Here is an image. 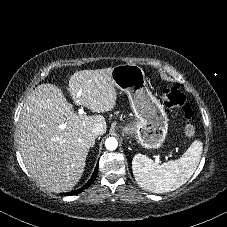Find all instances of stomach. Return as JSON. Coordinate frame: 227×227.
Segmentation results:
<instances>
[{"label":"stomach","mask_w":227,"mask_h":227,"mask_svg":"<svg viewBox=\"0 0 227 227\" xmlns=\"http://www.w3.org/2000/svg\"><path fill=\"white\" fill-rule=\"evenodd\" d=\"M115 87L127 93L136 120L123 130L144 148L158 149L168 132V118L163 105L147 87L144 70L135 64L115 66L111 72Z\"/></svg>","instance_id":"0dacf381"}]
</instances>
